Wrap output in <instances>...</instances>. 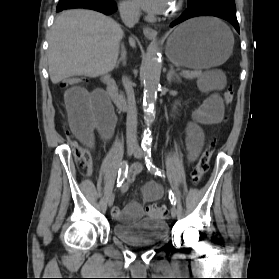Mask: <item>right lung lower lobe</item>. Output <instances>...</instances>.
I'll use <instances>...</instances> for the list:
<instances>
[{
	"instance_id": "right-lung-lower-lobe-1",
	"label": "right lung lower lobe",
	"mask_w": 279,
	"mask_h": 279,
	"mask_svg": "<svg viewBox=\"0 0 279 279\" xmlns=\"http://www.w3.org/2000/svg\"><path fill=\"white\" fill-rule=\"evenodd\" d=\"M72 8L93 9L106 15L112 14L117 10L114 0H59L57 11Z\"/></svg>"
}]
</instances>
